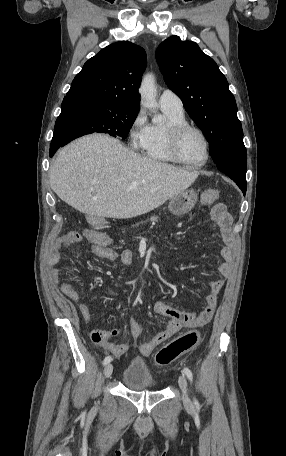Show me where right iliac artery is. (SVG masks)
Masks as SVG:
<instances>
[{"label": "right iliac artery", "mask_w": 286, "mask_h": 456, "mask_svg": "<svg viewBox=\"0 0 286 456\" xmlns=\"http://www.w3.org/2000/svg\"><path fill=\"white\" fill-rule=\"evenodd\" d=\"M112 361V357L111 356H107L105 357L104 361H103V365H107L108 363H110Z\"/></svg>", "instance_id": "right-iliac-artery-1"}]
</instances>
